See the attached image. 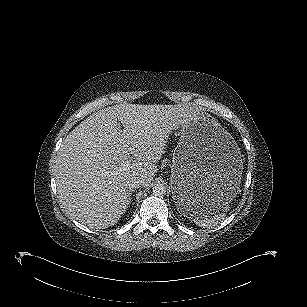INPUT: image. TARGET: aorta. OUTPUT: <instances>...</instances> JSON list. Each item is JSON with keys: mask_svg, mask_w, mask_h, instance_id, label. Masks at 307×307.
I'll list each match as a JSON object with an SVG mask.
<instances>
[{"mask_svg": "<svg viewBox=\"0 0 307 307\" xmlns=\"http://www.w3.org/2000/svg\"><path fill=\"white\" fill-rule=\"evenodd\" d=\"M152 192L154 196L162 197L166 194V187L161 183H157L153 186Z\"/></svg>", "mask_w": 307, "mask_h": 307, "instance_id": "1", "label": "aorta"}]
</instances>
